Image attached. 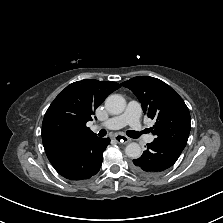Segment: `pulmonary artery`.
Instances as JSON below:
<instances>
[{"label":"pulmonary artery","mask_w":223,"mask_h":223,"mask_svg":"<svg viewBox=\"0 0 223 223\" xmlns=\"http://www.w3.org/2000/svg\"><path fill=\"white\" fill-rule=\"evenodd\" d=\"M141 106L136 101H130L127 105L126 110L121 115L112 117L98 125L97 128H106V129H119L126 125H130L133 130L140 133L143 136V140L146 143H151L154 139L152 135H145L143 133V128L141 125Z\"/></svg>","instance_id":"pulmonary-artery-1"}]
</instances>
